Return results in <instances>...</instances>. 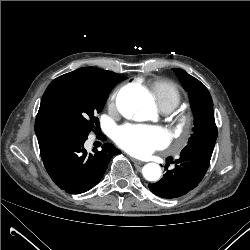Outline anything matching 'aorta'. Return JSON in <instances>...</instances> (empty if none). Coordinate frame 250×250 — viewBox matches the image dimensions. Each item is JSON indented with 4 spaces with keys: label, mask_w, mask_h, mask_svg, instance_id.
<instances>
[{
    "label": "aorta",
    "mask_w": 250,
    "mask_h": 250,
    "mask_svg": "<svg viewBox=\"0 0 250 250\" xmlns=\"http://www.w3.org/2000/svg\"><path fill=\"white\" fill-rule=\"evenodd\" d=\"M150 94L146 88L139 85L124 87L117 99V107L126 118L136 120L150 119L154 113V105L149 101ZM143 176L148 181H156L161 176V168L156 163H148L143 167Z\"/></svg>",
    "instance_id": "1"
}]
</instances>
